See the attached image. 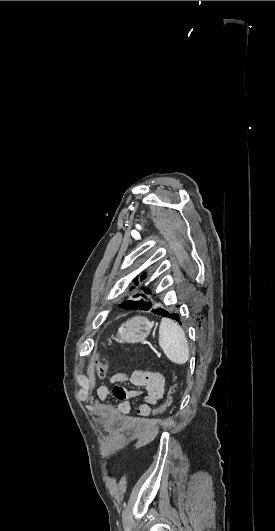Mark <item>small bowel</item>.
Instances as JSON below:
<instances>
[{"instance_id": "c3829d8e", "label": "small bowel", "mask_w": 275, "mask_h": 531, "mask_svg": "<svg viewBox=\"0 0 275 531\" xmlns=\"http://www.w3.org/2000/svg\"><path fill=\"white\" fill-rule=\"evenodd\" d=\"M109 381L113 385L129 382L136 387L144 389L143 402L137 407V416L140 418H147L151 415V407L158 403L163 397L166 379L160 372H153L147 370H136L130 376L124 372L113 373ZM126 399L117 406L106 403L103 405V412L107 418L114 416H124L131 410L130 400L139 395L136 390H127ZM97 397L101 401H105L110 397V388L106 385L97 388ZM109 420L101 422L102 427H106Z\"/></svg>"}]
</instances>
